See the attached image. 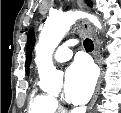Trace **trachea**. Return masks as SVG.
<instances>
[{"label": "trachea", "instance_id": "trachea-1", "mask_svg": "<svg viewBox=\"0 0 121 113\" xmlns=\"http://www.w3.org/2000/svg\"><path fill=\"white\" fill-rule=\"evenodd\" d=\"M84 48L88 51L91 52L94 48L93 42L91 39L87 38L84 40Z\"/></svg>", "mask_w": 121, "mask_h": 113}]
</instances>
